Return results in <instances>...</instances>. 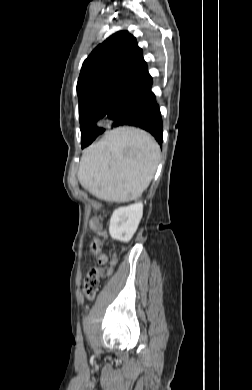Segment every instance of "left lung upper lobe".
<instances>
[{
	"mask_svg": "<svg viewBox=\"0 0 252 390\" xmlns=\"http://www.w3.org/2000/svg\"><path fill=\"white\" fill-rule=\"evenodd\" d=\"M150 77L142 49L128 31L99 44L84 61L77 83L81 135L94 120L106 114L113 118Z\"/></svg>",
	"mask_w": 252,
	"mask_h": 390,
	"instance_id": "left-lung-upper-lobe-1",
	"label": "left lung upper lobe"
}]
</instances>
